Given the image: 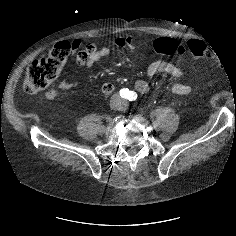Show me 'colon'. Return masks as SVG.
Instances as JSON below:
<instances>
[{"label": "colon", "instance_id": "obj_1", "mask_svg": "<svg viewBox=\"0 0 236 236\" xmlns=\"http://www.w3.org/2000/svg\"><path fill=\"white\" fill-rule=\"evenodd\" d=\"M187 46L195 58L209 59L207 47L201 40L191 39ZM154 49L165 55H183L186 52L184 45L169 38L157 39L154 42ZM72 51L70 43L59 42L50 49L45 57L31 62L23 81L24 91L28 94L38 93L57 81Z\"/></svg>", "mask_w": 236, "mask_h": 236}]
</instances>
